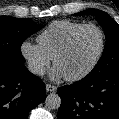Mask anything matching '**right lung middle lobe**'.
Segmentation results:
<instances>
[{"instance_id":"right-lung-middle-lobe-1","label":"right lung middle lobe","mask_w":119,"mask_h":119,"mask_svg":"<svg viewBox=\"0 0 119 119\" xmlns=\"http://www.w3.org/2000/svg\"><path fill=\"white\" fill-rule=\"evenodd\" d=\"M43 26L30 19L0 16V64L25 62L20 47L23 41Z\"/></svg>"}]
</instances>
